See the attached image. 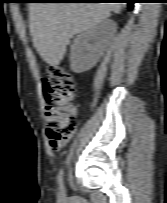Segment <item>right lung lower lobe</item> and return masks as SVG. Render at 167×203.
<instances>
[{"instance_id":"right-lung-lower-lobe-1","label":"right lung lower lobe","mask_w":167,"mask_h":203,"mask_svg":"<svg viewBox=\"0 0 167 203\" xmlns=\"http://www.w3.org/2000/svg\"><path fill=\"white\" fill-rule=\"evenodd\" d=\"M89 1H110V0H89ZM112 1V0H111ZM113 1H120V2H124V3H128V6L130 8H133V5L135 3V0H113Z\"/></svg>"}]
</instances>
